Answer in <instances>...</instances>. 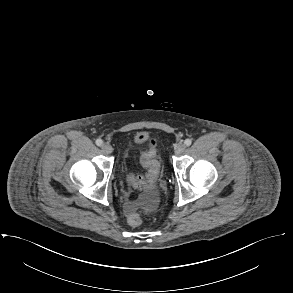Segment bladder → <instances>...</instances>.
Instances as JSON below:
<instances>
[{
  "mask_svg": "<svg viewBox=\"0 0 293 293\" xmlns=\"http://www.w3.org/2000/svg\"><path fill=\"white\" fill-rule=\"evenodd\" d=\"M126 169H127V164H126L125 161H123V162L121 163V170H122V172H125Z\"/></svg>",
  "mask_w": 293,
  "mask_h": 293,
  "instance_id": "bladder-1",
  "label": "bladder"
}]
</instances>
